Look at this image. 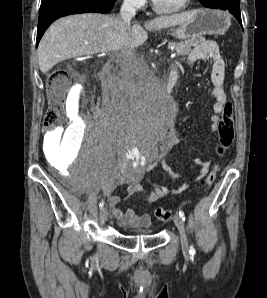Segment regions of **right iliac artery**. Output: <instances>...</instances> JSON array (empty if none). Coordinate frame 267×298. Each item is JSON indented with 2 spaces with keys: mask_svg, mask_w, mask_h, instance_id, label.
<instances>
[{
  "mask_svg": "<svg viewBox=\"0 0 267 298\" xmlns=\"http://www.w3.org/2000/svg\"><path fill=\"white\" fill-rule=\"evenodd\" d=\"M103 206H104V201L102 200V201L100 202V204H99V207L102 209Z\"/></svg>",
  "mask_w": 267,
  "mask_h": 298,
  "instance_id": "1",
  "label": "right iliac artery"
}]
</instances>
